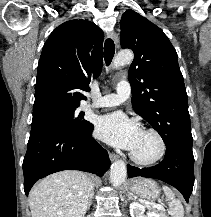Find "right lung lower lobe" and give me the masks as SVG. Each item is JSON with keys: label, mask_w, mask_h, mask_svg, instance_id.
Instances as JSON below:
<instances>
[{"label": "right lung lower lobe", "mask_w": 211, "mask_h": 217, "mask_svg": "<svg viewBox=\"0 0 211 217\" xmlns=\"http://www.w3.org/2000/svg\"><path fill=\"white\" fill-rule=\"evenodd\" d=\"M92 131L93 124L83 136L55 128L31 130L23 161L25 194L38 179L62 170L102 176L110 167V159L108 152L92 138Z\"/></svg>", "instance_id": "98d812e1"}]
</instances>
